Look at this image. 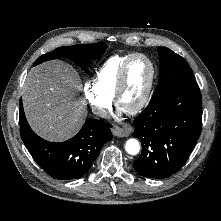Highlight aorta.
Segmentation results:
<instances>
[{"label": "aorta", "mask_w": 221, "mask_h": 221, "mask_svg": "<svg viewBox=\"0 0 221 221\" xmlns=\"http://www.w3.org/2000/svg\"><path fill=\"white\" fill-rule=\"evenodd\" d=\"M125 150L130 155L138 154L140 150V145H139L138 140L133 139V138L127 140L125 144Z\"/></svg>", "instance_id": "obj_1"}]
</instances>
